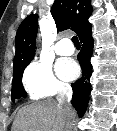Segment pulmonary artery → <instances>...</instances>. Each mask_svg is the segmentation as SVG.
<instances>
[{
    "label": "pulmonary artery",
    "instance_id": "e3ab8cb5",
    "mask_svg": "<svg viewBox=\"0 0 117 131\" xmlns=\"http://www.w3.org/2000/svg\"><path fill=\"white\" fill-rule=\"evenodd\" d=\"M55 51L58 55H72L74 47L69 39L63 38L56 43Z\"/></svg>",
    "mask_w": 117,
    "mask_h": 131
}]
</instances>
